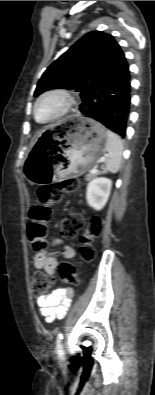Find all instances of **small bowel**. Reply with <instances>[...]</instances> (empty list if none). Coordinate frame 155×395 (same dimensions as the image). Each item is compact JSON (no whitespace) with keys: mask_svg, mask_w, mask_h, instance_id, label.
<instances>
[{"mask_svg":"<svg viewBox=\"0 0 155 395\" xmlns=\"http://www.w3.org/2000/svg\"><path fill=\"white\" fill-rule=\"evenodd\" d=\"M54 248L62 246L63 252L61 258L70 260L74 257V249L65 244L62 239L54 238L52 240ZM59 257L52 255L47 250L38 251L34 258L33 264L36 269L45 271L50 277L55 278L59 266ZM73 297V289L69 287H59L48 294L38 296L37 305L40 313L45 317L47 322L62 318L68 311Z\"/></svg>","mask_w":155,"mask_h":395,"instance_id":"c3829d8e","label":"small bowel"}]
</instances>
